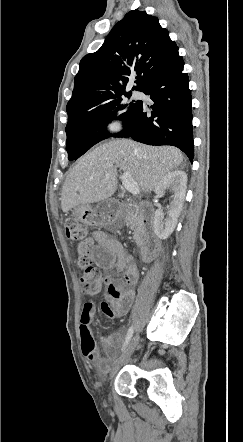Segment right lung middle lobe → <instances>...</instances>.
Masks as SVG:
<instances>
[{"instance_id":"dd1d6c3e","label":"right lung middle lobe","mask_w":243,"mask_h":442,"mask_svg":"<svg viewBox=\"0 0 243 442\" xmlns=\"http://www.w3.org/2000/svg\"><path fill=\"white\" fill-rule=\"evenodd\" d=\"M132 92L119 94L101 105L68 119L66 150L69 160H76L93 145L109 137L107 125L119 119L124 123L134 114L137 101L123 103L122 96L130 97Z\"/></svg>"}]
</instances>
